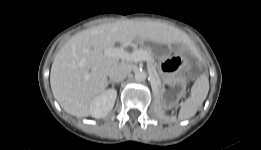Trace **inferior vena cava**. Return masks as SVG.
<instances>
[{
  "mask_svg": "<svg viewBox=\"0 0 261 150\" xmlns=\"http://www.w3.org/2000/svg\"><path fill=\"white\" fill-rule=\"evenodd\" d=\"M129 73L130 70L128 65L125 63H119L109 70L108 76L112 82H121L128 76Z\"/></svg>",
  "mask_w": 261,
  "mask_h": 150,
  "instance_id": "obj_1",
  "label": "inferior vena cava"
}]
</instances>
